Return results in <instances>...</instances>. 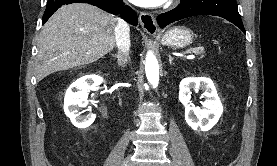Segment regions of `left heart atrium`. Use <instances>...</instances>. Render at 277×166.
Here are the masks:
<instances>
[{"mask_svg": "<svg viewBox=\"0 0 277 166\" xmlns=\"http://www.w3.org/2000/svg\"><path fill=\"white\" fill-rule=\"evenodd\" d=\"M129 1L141 7H157L164 4L167 0H129Z\"/></svg>", "mask_w": 277, "mask_h": 166, "instance_id": "left-heart-atrium-1", "label": "left heart atrium"}]
</instances>
